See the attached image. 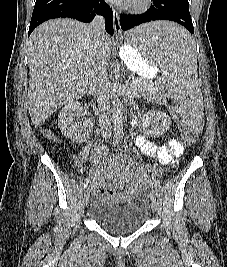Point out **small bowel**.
Returning <instances> with one entry per match:
<instances>
[{
  "instance_id": "small-bowel-1",
  "label": "small bowel",
  "mask_w": 227,
  "mask_h": 267,
  "mask_svg": "<svg viewBox=\"0 0 227 267\" xmlns=\"http://www.w3.org/2000/svg\"><path fill=\"white\" fill-rule=\"evenodd\" d=\"M136 144L146 156L157 160L163 165L175 164L184 152L182 142L176 138H170L162 145H155L148 138L138 136L136 138ZM100 176L101 173L99 171L93 174V181L91 183V190L93 193L99 197L118 195L120 189L115 185L102 182Z\"/></svg>"
}]
</instances>
